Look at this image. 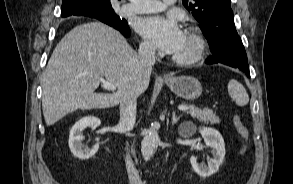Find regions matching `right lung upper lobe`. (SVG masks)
I'll return each mask as SVG.
<instances>
[{
  "label": "right lung upper lobe",
  "instance_id": "cb5924a9",
  "mask_svg": "<svg viewBox=\"0 0 293 184\" xmlns=\"http://www.w3.org/2000/svg\"><path fill=\"white\" fill-rule=\"evenodd\" d=\"M80 1H88V0H63L61 16L67 17V16H71V15H77V16L97 15L93 12L84 10L79 4ZM91 1H95V2H98L102 5H104L105 8H107L108 10L113 9L110 0H91Z\"/></svg>",
  "mask_w": 293,
  "mask_h": 184
}]
</instances>
